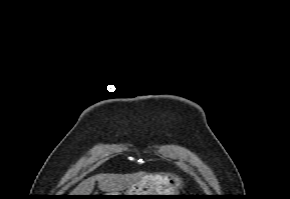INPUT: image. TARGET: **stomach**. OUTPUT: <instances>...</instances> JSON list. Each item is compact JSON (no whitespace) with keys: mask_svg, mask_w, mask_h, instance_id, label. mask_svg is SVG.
Here are the masks:
<instances>
[{"mask_svg":"<svg viewBox=\"0 0 290 199\" xmlns=\"http://www.w3.org/2000/svg\"><path fill=\"white\" fill-rule=\"evenodd\" d=\"M174 190L169 186V179L165 177H145L132 184L125 192L109 193L107 195H176ZM116 199H154V198H171V196H112Z\"/></svg>","mask_w":290,"mask_h":199,"instance_id":"obj_1","label":"stomach"}]
</instances>
